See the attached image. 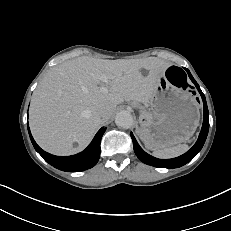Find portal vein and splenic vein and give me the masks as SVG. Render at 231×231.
<instances>
[{
  "instance_id": "18ae733b",
  "label": "portal vein and splenic vein",
  "mask_w": 231,
  "mask_h": 231,
  "mask_svg": "<svg viewBox=\"0 0 231 231\" xmlns=\"http://www.w3.org/2000/svg\"><path fill=\"white\" fill-rule=\"evenodd\" d=\"M99 78H100L101 81H103V82H105V83H108V77H107V75L103 74V75H101ZM101 89H102L104 92L107 91V88L104 87V86H103Z\"/></svg>"
}]
</instances>
